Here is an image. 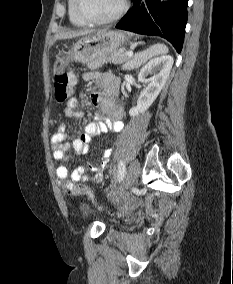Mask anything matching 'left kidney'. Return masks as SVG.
I'll list each match as a JSON object with an SVG mask.
<instances>
[{
    "mask_svg": "<svg viewBox=\"0 0 233 284\" xmlns=\"http://www.w3.org/2000/svg\"><path fill=\"white\" fill-rule=\"evenodd\" d=\"M174 60L170 55H162L151 59L138 74V81L147 84L146 88L140 93L136 107L129 110V115L135 117L139 113L146 111L155 101L166 80L169 77ZM151 78L147 79V76Z\"/></svg>",
    "mask_w": 233,
    "mask_h": 284,
    "instance_id": "1",
    "label": "left kidney"
}]
</instances>
